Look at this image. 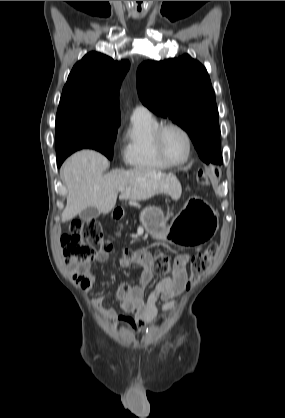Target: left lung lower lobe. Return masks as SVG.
<instances>
[{"label":"left lung lower lobe","mask_w":285,"mask_h":418,"mask_svg":"<svg viewBox=\"0 0 285 418\" xmlns=\"http://www.w3.org/2000/svg\"><path fill=\"white\" fill-rule=\"evenodd\" d=\"M214 157L221 158V155L220 154H216Z\"/></svg>","instance_id":"obj_1"}]
</instances>
